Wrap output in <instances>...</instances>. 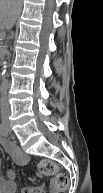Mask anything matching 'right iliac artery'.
Segmentation results:
<instances>
[{
  "label": "right iliac artery",
  "mask_w": 103,
  "mask_h": 193,
  "mask_svg": "<svg viewBox=\"0 0 103 193\" xmlns=\"http://www.w3.org/2000/svg\"><path fill=\"white\" fill-rule=\"evenodd\" d=\"M0 134L4 137H6L8 135L7 128L4 124H1V126H0Z\"/></svg>",
  "instance_id": "1"
}]
</instances>
